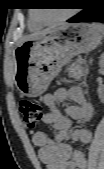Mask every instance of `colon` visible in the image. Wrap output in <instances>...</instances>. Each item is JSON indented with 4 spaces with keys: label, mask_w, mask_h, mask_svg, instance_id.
I'll use <instances>...</instances> for the list:
<instances>
[{
    "label": "colon",
    "mask_w": 104,
    "mask_h": 169,
    "mask_svg": "<svg viewBox=\"0 0 104 169\" xmlns=\"http://www.w3.org/2000/svg\"><path fill=\"white\" fill-rule=\"evenodd\" d=\"M18 109L23 122L29 129H34L43 116L41 104L30 100H21Z\"/></svg>",
    "instance_id": "1"
}]
</instances>
